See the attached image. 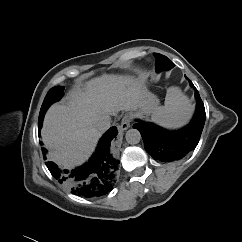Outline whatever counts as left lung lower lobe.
I'll return each instance as SVG.
<instances>
[{
  "instance_id": "obj_1",
  "label": "left lung lower lobe",
  "mask_w": 242,
  "mask_h": 242,
  "mask_svg": "<svg viewBox=\"0 0 242 242\" xmlns=\"http://www.w3.org/2000/svg\"><path fill=\"white\" fill-rule=\"evenodd\" d=\"M193 86L192 82L189 81ZM197 99L196 113L190 124L180 130L168 131L161 127L138 121L133 125L140 131L145 150L155 159L162 162H173L182 159L198 144L204 123L205 108L200 95L195 89Z\"/></svg>"
}]
</instances>
